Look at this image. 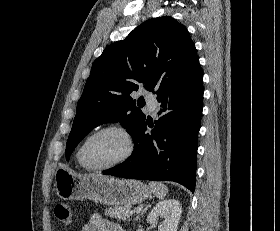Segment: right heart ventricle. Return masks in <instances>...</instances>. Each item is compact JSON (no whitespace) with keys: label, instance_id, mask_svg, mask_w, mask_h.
Here are the masks:
<instances>
[{"label":"right heart ventricle","instance_id":"right-heart-ventricle-1","mask_svg":"<svg viewBox=\"0 0 280 231\" xmlns=\"http://www.w3.org/2000/svg\"><path fill=\"white\" fill-rule=\"evenodd\" d=\"M81 144H82V142L80 143V145L77 147V149H76V152H75V160H76V163H77V165L81 168V169H85L81 164H80V162H79V160H78V153H79V149H80V147H81Z\"/></svg>","mask_w":280,"mask_h":231}]
</instances>
